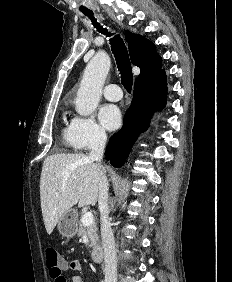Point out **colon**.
Segmentation results:
<instances>
[{"label": "colon", "instance_id": "obj_1", "mask_svg": "<svg viewBox=\"0 0 232 282\" xmlns=\"http://www.w3.org/2000/svg\"><path fill=\"white\" fill-rule=\"evenodd\" d=\"M45 259L50 275L53 277L61 276L64 260L62 259L58 251L52 247H48L45 250Z\"/></svg>", "mask_w": 232, "mask_h": 282}]
</instances>
